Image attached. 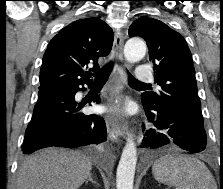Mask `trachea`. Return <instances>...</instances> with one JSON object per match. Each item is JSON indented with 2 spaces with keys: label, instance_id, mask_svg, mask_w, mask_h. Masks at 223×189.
<instances>
[{
  "label": "trachea",
  "instance_id": "trachea-1",
  "mask_svg": "<svg viewBox=\"0 0 223 189\" xmlns=\"http://www.w3.org/2000/svg\"><path fill=\"white\" fill-rule=\"evenodd\" d=\"M113 63L110 62L109 64L105 65L99 72L95 73V82L97 83H105L108 79V76L112 70ZM128 80L131 84H138V85H146L143 82L136 80L130 73H128Z\"/></svg>",
  "mask_w": 223,
  "mask_h": 189
}]
</instances>
